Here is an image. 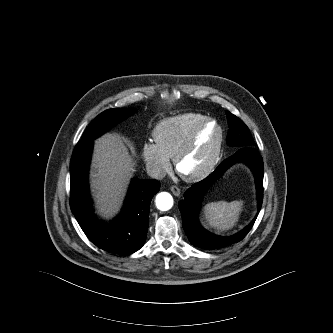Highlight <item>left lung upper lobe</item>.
I'll return each instance as SVG.
<instances>
[{
	"label": "left lung upper lobe",
	"mask_w": 333,
	"mask_h": 333,
	"mask_svg": "<svg viewBox=\"0 0 333 333\" xmlns=\"http://www.w3.org/2000/svg\"><path fill=\"white\" fill-rule=\"evenodd\" d=\"M229 131L227 134V143L231 146L252 147L254 140L251 137L250 131L245 123L238 117L226 111Z\"/></svg>",
	"instance_id": "5c2ea615"
}]
</instances>
